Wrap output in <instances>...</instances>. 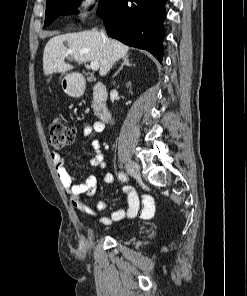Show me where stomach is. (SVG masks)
<instances>
[{"instance_id":"stomach-1","label":"stomach","mask_w":247,"mask_h":296,"mask_svg":"<svg viewBox=\"0 0 247 296\" xmlns=\"http://www.w3.org/2000/svg\"><path fill=\"white\" fill-rule=\"evenodd\" d=\"M63 87L65 88V91L72 96H76L80 93L79 85L76 81L75 75H68L63 80Z\"/></svg>"}]
</instances>
